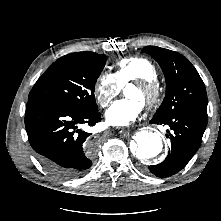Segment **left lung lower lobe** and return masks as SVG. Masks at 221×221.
I'll return each instance as SVG.
<instances>
[{"label":"left lung lower lobe","mask_w":221,"mask_h":221,"mask_svg":"<svg viewBox=\"0 0 221 221\" xmlns=\"http://www.w3.org/2000/svg\"><path fill=\"white\" fill-rule=\"evenodd\" d=\"M150 123L167 124L174 131L169 134L171 147L166 159L158 165L149 166L157 177H168L182 170L199 149L207 117L195 112H183L166 119L152 118Z\"/></svg>","instance_id":"1"}]
</instances>
